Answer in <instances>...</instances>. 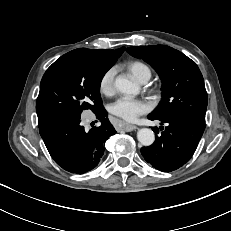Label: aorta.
Instances as JSON below:
<instances>
[{"mask_svg": "<svg viewBox=\"0 0 231 231\" xmlns=\"http://www.w3.org/2000/svg\"><path fill=\"white\" fill-rule=\"evenodd\" d=\"M114 84L116 89L124 94L135 95L139 91L137 84L121 75L115 79ZM137 139L143 146H150L155 141V135L151 129L142 128L137 132Z\"/></svg>", "mask_w": 231, "mask_h": 231, "instance_id": "1", "label": "aorta"}]
</instances>
